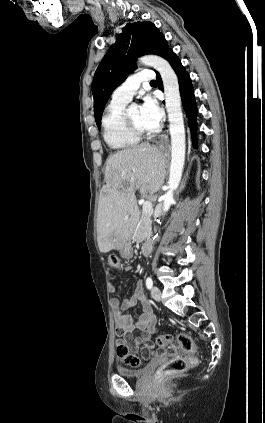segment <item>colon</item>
<instances>
[{"instance_id": "1", "label": "colon", "mask_w": 265, "mask_h": 423, "mask_svg": "<svg viewBox=\"0 0 265 423\" xmlns=\"http://www.w3.org/2000/svg\"><path fill=\"white\" fill-rule=\"evenodd\" d=\"M108 262L109 266L113 269H118L121 266L120 259L115 254H111L109 256ZM175 339L176 344L173 345V336L170 333H163L157 337V347L163 348L171 345L173 350L181 349L182 351L188 353V356L174 357L162 365L157 372V376L159 378L183 373L190 365L197 362L192 338L187 333L180 332L176 335ZM117 356L126 366L130 368H139L141 366V360L130 353L128 346L124 342H120L117 345Z\"/></svg>"}]
</instances>
